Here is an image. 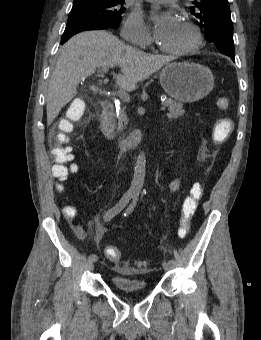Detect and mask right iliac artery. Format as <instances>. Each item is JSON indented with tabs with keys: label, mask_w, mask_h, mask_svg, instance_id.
<instances>
[{
	"label": "right iliac artery",
	"mask_w": 261,
	"mask_h": 340,
	"mask_svg": "<svg viewBox=\"0 0 261 340\" xmlns=\"http://www.w3.org/2000/svg\"><path fill=\"white\" fill-rule=\"evenodd\" d=\"M132 198V194L131 193H126L123 195V197L119 200V202L113 206L112 208H110L103 216V219L105 222L110 221L114 216H116L118 213H120L125 207L126 205L129 203L130 199ZM98 259L97 255L95 254H91L88 257V260L92 261V262H96Z\"/></svg>",
	"instance_id": "82829eb1"
}]
</instances>
